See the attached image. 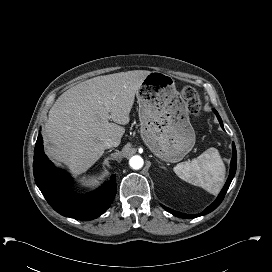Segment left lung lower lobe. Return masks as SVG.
<instances>
[{
  "label": "left lung lower lobe",
  "mask_w": 272,
  "mask_h": 272,
  "mask_svg": "<svg viewBox=\"0 0 272 272\" xmlns=\"http://www.w3.org/2000/svg\"><path fill=\"white\" fill-rule=\"evenodd\" d=\"M219 122H220V125L221 127L223 128V123H222V120L218 114V112L216 110H214ZM232 148H233V157H232V160H231V168H230V175L228 177V180L225 184V186L223 187L222 191L220 192L219 196L217 197V199L210 205L208 206L202 213L200 214H196V215H187V214H183V213H180V212H177V211H174L172 209H169L165 206H162L165 210H167L168 212L172 213L173 215L177 216V217H180V218H195V217H198V216H202V215H205L211 211H213L214 209H216L220 203L222 202L230 184H231V181L235 175V172H236V167H237V153H236V148H235V145L234 143L232 144Z\"/></svg>",
  "instance_id": "obj_1"
}]
</instances>
